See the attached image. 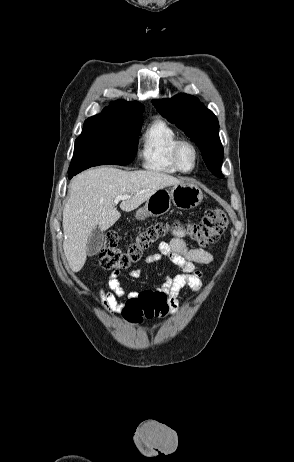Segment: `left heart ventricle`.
I'll return each mask as SVG.
<instances>
[{
	"label": "left heart ventricle",
	"mask_w": 294,
	"mask_h": 462,
	"mask_svg": "<svg viewBox=\"0 0 294 462\" xmlns=\"http://www.w3.org/2000/svg\"><path fill=\"white\" fill-rule=\"evenodd\" d=\"M180 161L185 169H190L193 166L194 154L190 147L184 146L180 153Z\"/></svg>",
	"instance_id": "left-heart-ventricle-1"
}]
</instances>
